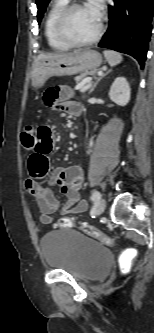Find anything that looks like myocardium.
Returning a JSON list of instances; mask_svg holds the SVG:
<instances>
[{"label": "myocardium", "instance_id": "f54148a6", "mask_svg": "<svg viewBox=\"0 0 154 333\" xmlns=\"http://www.w3.org/2000/svg\"><path fill=\"white\" fill-rule=\"evenodd\" d=\"M85 6L82 2L80 1H72L68 3L59 13L56 23H55V30L58 35V37L65 42L66 44L72 46V47H84V46H90L99 41L101 36L103 35L104 32V22H103V17L100 15L99 17V25L97 32L95 35L88 39V40H77L75 39L68 31L67 29V23L70 14L72 11L76 8Z\"/></svg>", "mask_w": 154, "mask_h": 333}]
</instances>
